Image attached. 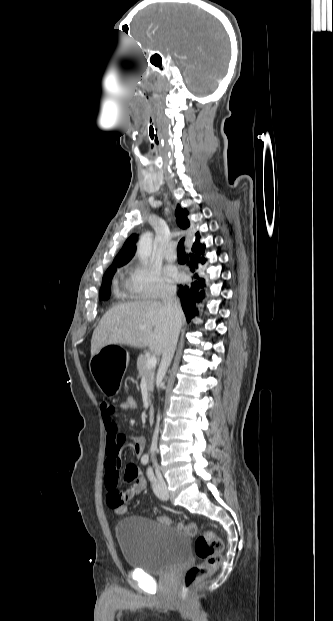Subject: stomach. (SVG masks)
Returning <instances> with one entry per match:
<instances>
[{"mask_svg": "<svg viewBox=\"0 0 333 621\" xmlns=\"http://www.w3.org/2000/svg\"><path fill=\"white\" fill-rule=\"evenodd\" d=\"M123 349L121 342L107 340L92 354L93 380L102 396H117L122 389L121 380L129 359Z\"/></svg>", "mask_w": 333, "mask_h": 621, "instance_id": "0dacf381", "label": "stomach"}]
</instances>
